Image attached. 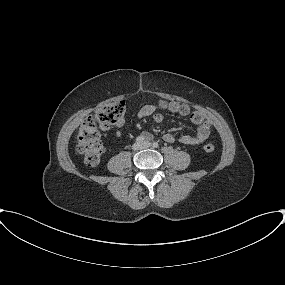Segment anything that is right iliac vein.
I'll return each instance as SVG.
<instances>
[{"instance_id": "1", "label": "right iliac vein", "mask_w": 285, "mask_h": 285, "mask_svg": "<svg viewBox=\"0 0 285 285\" xmlns=\"http://www.w3.org/2000/svg\"><path fill=\"white\" fill-rule=\"evenodd\" d=\"M141 148H142V146H141V144H139V143H136V144L133 145V150H135V151H138V150H140Z\"/></svg>"}]
</instances>
